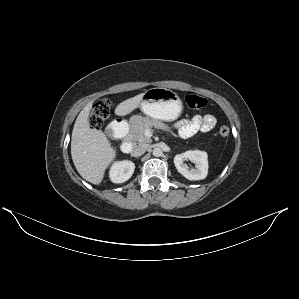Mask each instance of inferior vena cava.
Segmentation results:
<instances>
[{
	"label": "inferior vena cava",
	"instance_id": "602c4592",
	"mask_svg": "<svg viewBox=\"0 0 299 299\" xmlns=\"http://www.w3.org/2000/svg\"><path fill=\"white\" fill-rule=\"evenodd\" d=\"M147 149H148L147 144H139L131 150V155L134 157H139L143 155L147 151Z\"/></svg>",
	"mask_w": 299,
	"mask_h": 299
}]
</instances>
